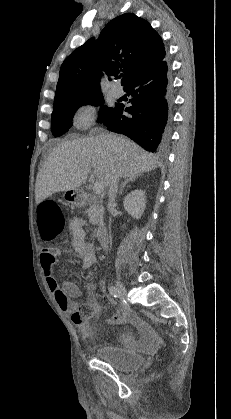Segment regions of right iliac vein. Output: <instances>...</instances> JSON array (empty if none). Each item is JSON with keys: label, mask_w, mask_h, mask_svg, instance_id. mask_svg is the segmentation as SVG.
<instances>
[{"label": "right iliac vein", "mask_w": 231, "mask_h": 419, "mask_svg": "<svg viewBox=\"0 0 231 419\" xmlns=\"http://www.w3.org/2000/svg\"><path fill=\"white\" fill-rule=\"evenodd\" d=\"M115 286H116V289L118 290L120 296L123 299H126V297H127V291H126L125 286L120 281H118V280L115 281Z\"/></svg>", "instance_id": "1"}]
</instances>
